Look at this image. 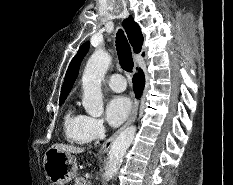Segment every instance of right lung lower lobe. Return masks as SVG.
Returning a JSON list of instances; mask_svg holds the SVG:
<instances>
[{"label":"right lung lower lobe","mask_w":233,"mask_h":185,"mask_svg":"<svg viewBox=\"0 0 233 185\" xmlns=\"http://www.w3.org/2000/svg\"><path fill=\"white\" fill-rule=\"evenodd\" d=\"M145 85L144 73L139 69L138 73L133 77V88L136 94V97L139 98Z\"/></svg>","instance_id":"obj_1"}]
</instances>
